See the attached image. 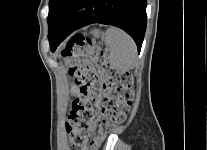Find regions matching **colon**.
I'll list each match as a JSON object with an SVG mask.
<instances>
[{
	"instance_id": "1",
	"label": "colon",
	"mask_w": 207,
	"mask_h": 150,
	"mask_svg": "<svg viewBox=\"0 0 207 150\" xmlns=\"http://www.w3.org/2000/svg\"><path fill=\"white\" fill-rule=\"evenodd\" d=\"M61 56L81 93L72 103L66 131L73 146L96 150L129 113L134 97L132 76L113 67L105 53L83 35L74 36Z\"/></svg>"
}]
</instances>
